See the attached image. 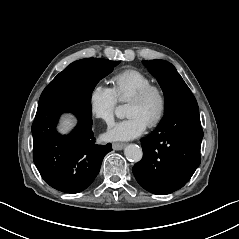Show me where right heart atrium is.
Here are the masks:
<instances>
[{
	"label": "right heart atrium",
	"mask_w": 239,
	"mask_h": 239,
	"mask_svg": "<svg viewBox=\"0 0 239 239\" xmlns=\"http://www.w3.org/2000/svg\"><path fill=\"white\" fill-rule=\"evenodd\" d=\"M118 97L113 87L95 83L88 91V106L94 118L103 119L110 123L118 104Z\"/></svg>",
	"instance_id": "1"
}]
</instances>
